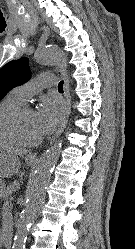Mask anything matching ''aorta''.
<instances>
[{
  "label": "aorta",
  "mask_w": 135,
  "mask_h": 249,
  "mask_svg": "<svg viewBox=\"0 0 135 249\" xmlns=\"http://www.w3.org/2000/svg\"><path fill=\"white\" fill-rule=\"evenodd\" d=\"M36 60L41 64L66 67V58L63 51L56 47H44L35 53ZM62 148V141L58 140L47 149L39 159L35 171L29 179L26 193V206L22 211L20 221L14 237L13 249H25L28 232L34 223L45 198V191L50 180Z\"/></svg>",
  "instance_id": "obj_1"
}]
</instances>
